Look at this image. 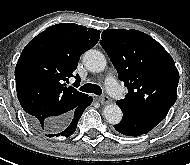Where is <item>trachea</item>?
<instances>
[{"label": "trachea", "instance_id": "trachea-1", "mask_svg": "<svg viewBox=\"0 0 190 165\" xmlns=\"http://www.w3.org/2000/svg\"><path fill=\"white\" fill-rule=\"evenodd\" d=\"M80 90L82 92L94 93L96 95H101L102 94L101 87L99 85L92 84V83L84 84L83 86L80 87Z\"/></svg>", "mask_w": 190, "mask_h": 165}]
</instances>
